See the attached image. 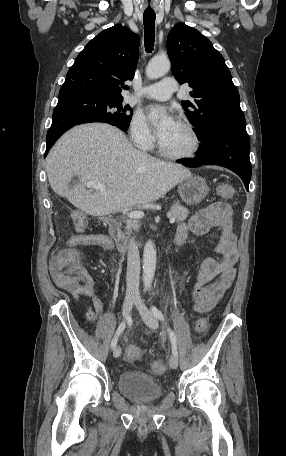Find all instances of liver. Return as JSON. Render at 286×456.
Returning <instances> with one entry per match:
<instances>
[{"label":"liver","instance_id":"1","mask_svg":"<svg viewBox=\"0 0 286 456\" xmlns=\"http://www.w3.org/2000/svg\"><path fill=\"white\" fill-rule=\"evenodd\" d=\"M53 191L91 216L153 202L192 176L185 167L135 149L125 134L102 123L79 125L65 133L46 159ZM79 182L69 187L71 179ZM89 181L106 191L91 192Z\"/></svg>","mask_w":286,"mask_h":456}]
</instances>
